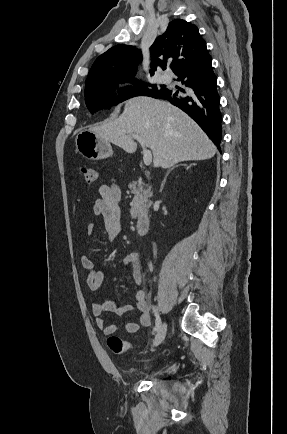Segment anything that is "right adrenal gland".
<instances>
[{
    "label": "right adrenal gland",
    "mask_w": 287,
    "mask_h": 434,
    "mask_svg": "<svg viewBox=\"0 0 287 434\" xmlns=\"http://www.w3.org/2000/svg\"><path fill=\"white\" fill-rule=\"evenodd\" d=\"M180 166H186V164H180ZM175 167H178V165H176V166L172 167L170 170H168V172H167V174L165 175V178H164V180H163L162 187L164 186V184H165V182H166L167 176L169 175V173H170V172H171Z\"/></svg>",
    "instance_id": "2a0ac1e0"
}]
</instances>
